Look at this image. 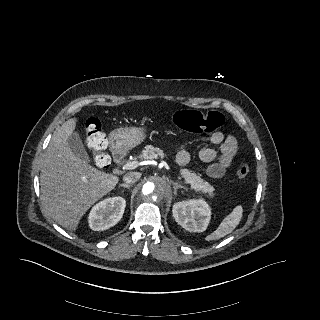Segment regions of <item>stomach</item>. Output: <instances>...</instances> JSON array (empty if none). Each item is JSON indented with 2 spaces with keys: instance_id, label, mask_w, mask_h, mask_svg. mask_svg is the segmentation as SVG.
<instances>
[{
  "instance_id": "stomach-1",
  "label": "stomach",
  "mask_w": 320,
  "mask_h": 320,
  "mask_svg": "<svg viewBox=\"0 0 320 320\" xmlns=\"http://www.w3.org/2000/svg\"><path fill=\"white\" fill-rule=\"evenodd\" d=\"M146 138V130L143 127H122L110 133L109 140L112 146L122 150H128L142 143Z\"/></svg>"
}]
</instances>
